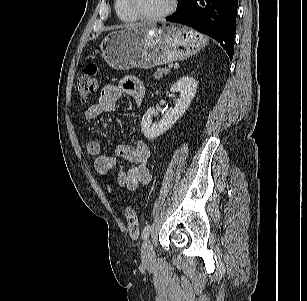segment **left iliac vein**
<instances>
[{
  "mask_svg": "<svg viewBox=\"0 0 307 301\" xmlns=\"http://www.w3.org/2000/svg\"><path fill=\"white\" fill-rule=\"evenodd\" d=\"M155 259L153 245L149 238H146L142 244V261L144 264H150Z\"/></svg>",
  "mask_w": 307,
  "mask_h": 301,
  "instance_id": "left-iliac-vein-1",
  "label": "left iliac vein"
}]
</instances>
